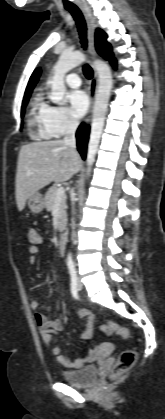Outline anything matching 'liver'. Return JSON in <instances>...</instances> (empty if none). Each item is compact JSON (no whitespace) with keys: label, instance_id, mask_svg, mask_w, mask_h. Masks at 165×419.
<instances>
[{"label":"liver","instance_id":"1","mask_svg":"<svg viewBox=\"0 0 165 419\" xmlns=\"http://www.w3.org/2000/svg\"><path fill=\"white\" fill-rule=\"evenodd\" d=\"M82 160L63 140L33 142L22 146L16 172V202L19 211L27 199L51 182H65L77 173Z\"/></svg>","mask_w":165,"mask_h":419}]
</instances>
